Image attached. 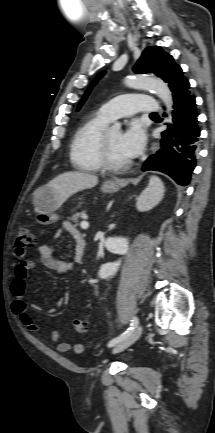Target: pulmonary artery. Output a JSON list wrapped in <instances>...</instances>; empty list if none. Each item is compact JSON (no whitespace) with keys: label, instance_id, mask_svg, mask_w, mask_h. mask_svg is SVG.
I'll use <instances>...</instances> for the list:
<instances>
[{"label":"pulmonary artery","instance_id":"1","mask_svg":"<svg viewBox=\"0 0 215 433\" xmlns=\"http://www.w3.org/2000/svg\"><path fill=\"white\" fill-rule=\"evenodd\" d=\"M160 111L161 107L153 96L140 93L120 95L100 108V113L110 121L137 113L152 114Z\"/></svg>","mask_w":215,"mask_h":433}]
</instances>
